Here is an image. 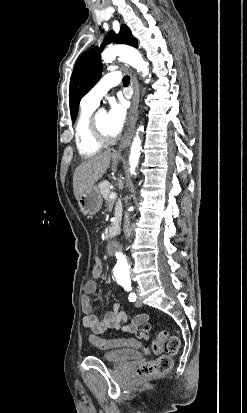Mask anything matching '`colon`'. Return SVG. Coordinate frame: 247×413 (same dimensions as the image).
<instances>
[{
	"mask_svg": "<svg viewBox=\"0 0 247 413\" xmlns=\"http://www.w3.org/2000/svg\"><path fill=\"white\" fill-rule=\"evenodd\" d=\"M92 275H101V263L99 261H94L92 263ZM136 331V330H135ZM134 331V332H135ZM90 342L103 349L114 348V347H131V348H144L148 350L147 346H143L140 340H135V338L128 339H112V340H102L96 336L90 337ZM153 345L152 354L154 356H159L156 360L143 364L136 374L137 381H150L151 376H156L168 372L172 366V360L166 358L163 354L164 343L171 342L173 348L168 351L169 355H180L181 347L179 346L178 337L172 336L169 332H156V336H152L150 339ZM163 354V355H162Z\"/></svg>",
	"mask_w": 247,
	"mask_h": 413,
	"instance_id": "colon-1",
	"label": "colon"
}]
</instances>
